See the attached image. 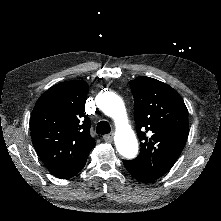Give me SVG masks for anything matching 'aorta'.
I'll use <instances>...</instances> for the list:
<instances>
[{
	"mask_svg": "<svg viewBox=\"0 0 221 221\" xmlns=\"http://www.w3.org/2000/svg\"><path fill=\"white\" fill-rule=\"evenodd\" d=\"M101 110L111 117L116 125L115 145L120 155L133 159L138 154V141L128 123V117L123 100L115 94H108L101 104Z\"/></svg>",
	"mask_w": 221,
	"mask_h": 221,
	"instance_id": "aorta-1",
	"label": "aorta"
}]
</instances>
